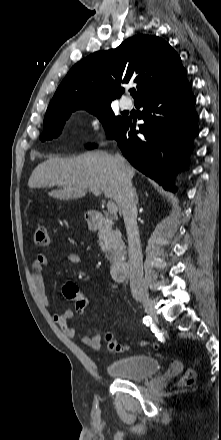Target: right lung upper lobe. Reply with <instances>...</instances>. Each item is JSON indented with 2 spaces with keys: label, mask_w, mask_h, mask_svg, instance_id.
I'll use <instances>...</instances> for the list:
<instances>
[{
  "label": "right lung upper lobe",
  "mask_w": 221,
  "mask_h": 440,
  "mask_svg": "<svg viewBox=\"0 0 221 440\" xmlns=\"http://www.w3.org/2000/svg\"><path fill=\"white\" fill-rule=\"evenodd\" d=\"M186 78L176 51L163 39L135 35L117 48L98 51L76 63L55 92L47 111L70 105L97 107L120 97L122 83H137L135 103Z\"/></svg>",
  "instance_id": "right-lung-upper-lobe-1"
}]
</instances>
